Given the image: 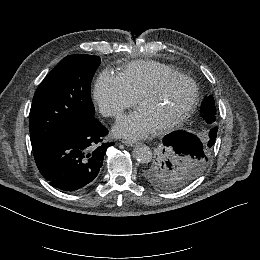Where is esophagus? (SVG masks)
<instances>
[{
  "instance_id": "34e87169",
  "label": "esophagus",
  "mask_w": 260,
  "mask_h": 260,
  "mask_svg": "<svg viewBox=\"0 0 260 260\" xmlns=\"http://www.w3.org/2000/svg\"><path fill=\"white\" fill-rule=\"evenodd\" d=\"M126 146H129V147H135L137 145H139V142L137 141H132V140H123L122 141Z\"/></svg>"
}]
</instances>
